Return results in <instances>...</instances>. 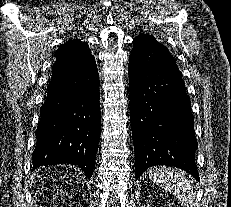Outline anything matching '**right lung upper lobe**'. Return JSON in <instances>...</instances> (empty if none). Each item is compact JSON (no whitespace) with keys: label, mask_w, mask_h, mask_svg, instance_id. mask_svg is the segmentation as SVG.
Listing matches in <instances>:
<instances>
[{"label":"right lung upper lobe","mask_w":231,"mask_h":207,"mask_svg":"<svg viewBox=\"0 0 231 207\" xmlns=\"http://www.w3.org/2000/svg\"><path fill=\"white\" fill-rule=\"evenodd\" d=\"M56 62L54 65L61 67L63 70L71 71L79 67L89 57H92L89 52L88 45L82 43L78 39L69 40L61 45L56 51Z\"/></svg>","instance_id":"cb5924a9"}]
</instances>
